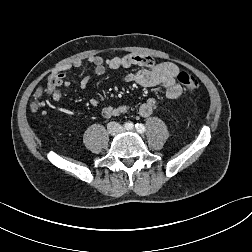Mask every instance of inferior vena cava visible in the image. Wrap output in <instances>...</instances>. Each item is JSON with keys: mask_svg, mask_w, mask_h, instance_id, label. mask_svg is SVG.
Segmentation results:
<instances>
[{"mask_svg": "<svg viewBox=\"0 0 252 252\" xmlns=\"http://www.w3.org/2000/svg\"><path fill=\"white\" fill-rule=\"evenodd\" d=\"M107 128H108L109 133L112 135H117L123 132V127L120 124L115 123V122H110L107 125Z\"/></svg>", "mask_w": 252, "mask_h": 252, "instance_id": "1", "label": "inferior vena cava"}]
</instances>
